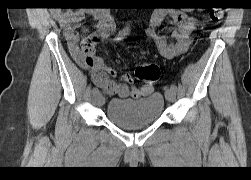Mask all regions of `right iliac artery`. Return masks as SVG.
Instances as JSON below:
<instances>
[{"label": "right iliac artery", "mask_w": 251, "mask_h": 180, "mask_svg": "<svg viewBox=\"0 0 251 180\" xmlns=\"http://www.w3.org/2000/svg\"><path fill=\"white\" fill-rule=\"evenodd\" d=\"M129 32H130V29H129L128 26H126L125 28H123L122 30L119 31V33L115 37V40L119 41V40L123 39L125 36H127L129 34ZM98 93H99V89L96 88V87H94L92 89L93 96L96 95V94H98Z\"/></svg>", "instance_id": "82829eb1"}]
</instances>
